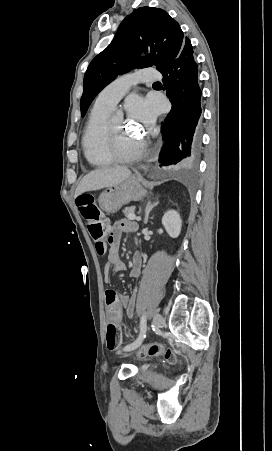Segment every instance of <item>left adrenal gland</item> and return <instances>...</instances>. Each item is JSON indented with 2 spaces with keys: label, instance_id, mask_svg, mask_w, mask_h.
<instances>
[{
  "label": "left adrenal gland",
  "instance_id": "obj_1",
  "mask_svg": "<svg viewBox=\"0 0 272 451\" xmlns=\"http://www.w3.org/2000/svg\"><path fill=\"white\" fill-rule=\"evenodd\" d=\"M158 204H159V202H155V204H151V202H148V204L146 206V210H145L144 224H147L148 218H149V214H150L152 208H155V206H158Z\"/></svg>",
  "mask_w": 272,
  "mask_h": 451
}]
</instances>
